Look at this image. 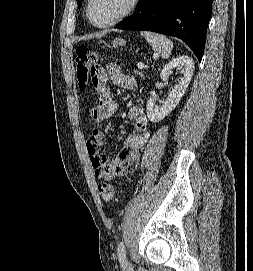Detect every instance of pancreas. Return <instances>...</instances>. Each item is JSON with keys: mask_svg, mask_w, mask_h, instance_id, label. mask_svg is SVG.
Segmentation results:
<instances>
[{"mask_svg": "<svg viewBox=\"0 0 253 271\" xmlns=\"http://www.w3.org/2000/svg\"><path fill=\"white\" fill-rule=\"evenodd\" d=\"M135 74H136V75H139L141 78H143V74H142L141 71H139V70H138V71H135Z\"/></svg>", "mask_w": 253, "mask_h": 271, "instance_id": "1", "label": "pancreas"}]
</instances>
